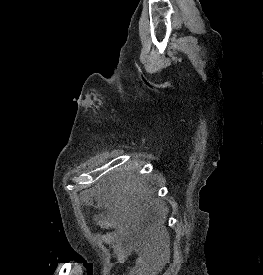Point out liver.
Returning a JSON list of instances; mask_svg holds the SVG:
<instances>
[{
  "mask_svg": "<svg viewBox=\"0 0 263 275\" xmlns=\"http://www.w3.org/2000/svg\"><path fill=\"white\" fill-rule=\"evenodd\" d=\"M108 188L104 186L103 188H98L96 191V195L98 199L102 200L106 207L112 206V209L115 211H122L123 213V221L128 220L131 221L133 219L137 218V210L130 204H128V193L129 188L128 187H117V188H111L110 190H107ZM151 205L154 206L159 214H161L163 217L167 214V207H165L164 204H159L157 202H151Z\"/></svg>",
  "mask_w": 263,
  "mask_h": 275,
  "instance_id": "liver-1",
  "label": "liver"
}]
</instances>
